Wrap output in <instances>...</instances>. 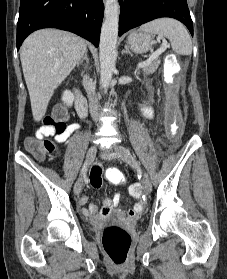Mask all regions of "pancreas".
<instances>
[{
    "label": "pancreas",
    "mask_w": 227,
    "mask_h": 279,
    "mask_svg": "<svg viewBox=\"0 0 227 279\" xmlns=\"http://www.w3.org/2000/svg\"><path fill=\"white\" fill-rule=\"evenodd\" d=\"M159 64H160L159 60H154L150 64L142 67L144 75L153 74L157 70Z\"/></svg>",
    "instance_id": "obj_1"
}]
</instances>
